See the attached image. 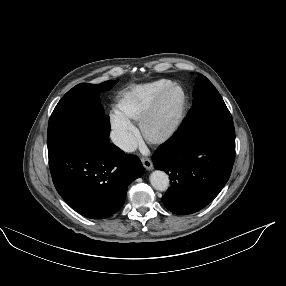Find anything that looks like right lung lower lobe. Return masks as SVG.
Instances as JSON below:
<instances>
[{
	"mask_svg": "<svg viewBox=\"0 0 286 286\" xmlns=\"http://www.w3.org/2000/svg\"><path fill=\"white\" fill-rule=\"evenodd\" d=\"M54 186L79 214L104 219L124 204L128 185L144 168L138 157L110 144L75 138L48 151Z\"/></svg>",
	"mask_w": 286,
	"mask_h": 286,
	"instance_id": "obj_1",
	"label": "right lung lower lobe"
}]
</instances>
